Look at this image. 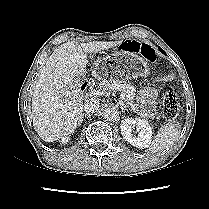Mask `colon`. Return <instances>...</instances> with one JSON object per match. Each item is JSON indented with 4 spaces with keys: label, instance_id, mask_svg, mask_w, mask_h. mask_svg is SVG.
Returning a JSON list of instances; mask_svg holds the SVG:
<instances>
[{
    "label": "colon",
    "instance_id": "5ec220e1",
    "mask_svg": "<svg viewBox=\"0 0 209 209\" xmlns=\"http://www.w3.org/2000/svg\"><path fill=\"white\" fill-rule=\"evenodd\" d=\"M122 49L128 52H135L140 54L145 60L149 62L156 61L155 49L147 43H140L137 41H127L122 45ZM182 107V101L174 89L168 88L163 97V115L166 120H174Z\"/></svg>",
    "mask_w": 209,
    "mask_h": 209
}]
</instances>
